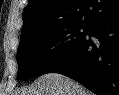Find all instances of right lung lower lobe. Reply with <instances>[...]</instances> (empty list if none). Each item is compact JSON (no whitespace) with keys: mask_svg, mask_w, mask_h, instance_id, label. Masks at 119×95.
I'll list each match as a JSON object with an SVG mask.
<instances>
[{"mask_svg":"<svg viewBox=\"0 0 119 95\" xmlns=\"http://www.w3.org/2000/svg\"><path fill=\"white\" fill-rule=\"evenodd\" d=\"M46 73L63 74L98 95H119V15L91 26Z\"/></svg>","mask_w":119,"mask_h":95,"instance_id":"1","label":"right lung lower lobe"}]
</instances>
